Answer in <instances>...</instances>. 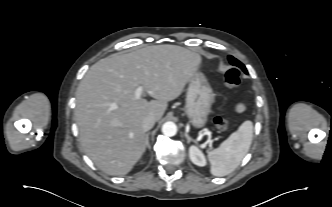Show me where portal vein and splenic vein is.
<instances>
[{"label":"portal vein and splenic vein","instance_id":"portal-vein-and-splenic-vein-1","mask_svg":"<svg viewBox=\"0 0 332 207\" xmlns=\"http://www.w3.org/2000/svg\"><path fill=\"white\" fill-rule=\"evenodd\" d=\"M142 87H138L135 91V99H140L141 95H142Z\"/></svg>","mask_w":332,"mask_h":207}]
</instances>
